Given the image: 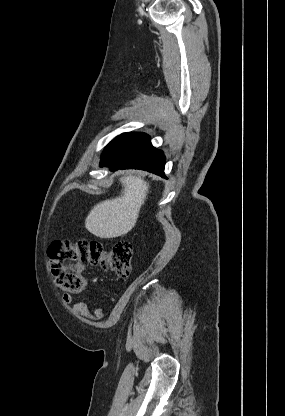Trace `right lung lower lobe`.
Segmentation results:
<instances>
[{
	"label": "right lung lower lobe",
	"mask_w": 285,
	"mask_h": 416,
	"mask_svg": "<svg viewBox=\"0 0 285 416\" xmlns=\"http://www.w3.org/2000/svg\"><path fill=\"white\" fill-rule=\"evenodd\" d=\"M165 157L155 149L150 137L144 133H124L113 139L104 149L100 166L118 169H142L162 177Z\"/></svg>",
	"instance_id": "1"
}]
</instances>
